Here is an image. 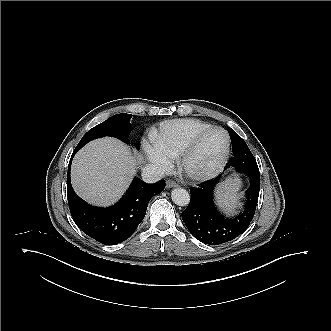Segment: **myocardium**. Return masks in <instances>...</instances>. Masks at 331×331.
I'll return each mask as SVG.
<instances>
[{
    "instance_id": "obj_1",
    "label": "myocardium",
    "mask_w": 331,
    "mask_h": 331,
    "mask_svg": "<svg viewBox=\"0 0 331 331\" xmlns=\"http://www.w3.org/2000/svg\"><path fill=\"white\" fill-rule=\"evenodd\" d=\"M221 132L225 139V146L220 160L212 168L204 172H190L187 169L188 159L193 155L199 146L202 139L212 132ZM230 152V137L226 130L221 127L212 126L207 128L191 138V140L186 144L180 155L178 156V169L179 171L189 180L192 181H206L214 176H216L226 165Z\"/></svg>"
}]
</instances>
